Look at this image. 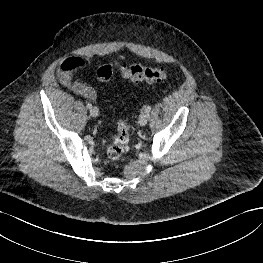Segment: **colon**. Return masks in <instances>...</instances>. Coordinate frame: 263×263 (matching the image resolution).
Masks as SVG:
<instances>
[{
    "label": "colon",
    "instance_id": "colon-1",
    "mask_svg": "<svg viewBox=\"0 0 263 263\" xmlns=\"http://www.w3.org/2000/svg\"><path fill=\"white\" fill-rule=\"evenodd\" d=\"M115 71L123 78L133 82H160L167 76L166 70L162 67H147L140 64L121 65L118 63L99 67L96 75L100 81L106 82L111 79ZM129 137V127L127 123L124 120H120L116 133L106 148L109 159L117 160L128 150Z\"/></svg>",
    "mask_w": 263,
    "mask_h": 263
}]
</instances>
